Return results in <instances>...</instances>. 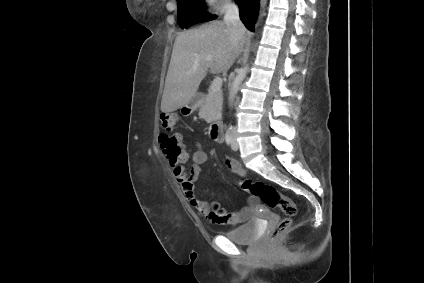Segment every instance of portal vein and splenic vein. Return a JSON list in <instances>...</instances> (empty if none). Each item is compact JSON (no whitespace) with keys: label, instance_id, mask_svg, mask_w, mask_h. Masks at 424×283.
Returning <instances> with one entry per match:
<instances>
[{"label":"portal vein and splenic vein","instance_id":"obj_1","mask_svg":"<svg viewBox=\"0 0 424 283\" xmlns=\"http://www.w3.org/2000/svg\"><path fill=\"white\" fill-rule=\"evenodd\" d=\"M222 83H223V81H222L221 77H215L212 81L210 88H209L210 91L213 92V93L220 91L221 87H222Z\"/></svg>","mask_w":424,"mask_h":283}]
</instances>
